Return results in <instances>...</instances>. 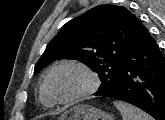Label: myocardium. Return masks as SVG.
<instances>
[{"instance_id":"f54148a6","label":"myocardium","mask_w":165,"mask_h":120,"mask_svg":"<svg viewBox=\"0 0 165 120\" xmlns=\"http://www.w3.org/2000/svg\"><path fill=\"white\" fill-rule=\"evenodd\" d=\"M64 67H74V68L81 70L88 77L89 83H88L87 87L85 89H83L82 91H80L79 93H77L69 98L61 99V98H57L52 93L49 82H50L52 75L57 70L64 68ZM99 84H100V80H99V77L96 74V72L94 70H92L87 64L80 62V61H76V60H64V61H61V62L55 64L48 71V73L46 74L44 81H43V86H44V90H45L46 94L48 95V97L50 98V100L53 103H58V104H69V103L78 101L80 99H83L85 97H88L97 91Z\"/></svg>"}]
</instances>
